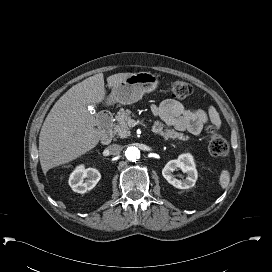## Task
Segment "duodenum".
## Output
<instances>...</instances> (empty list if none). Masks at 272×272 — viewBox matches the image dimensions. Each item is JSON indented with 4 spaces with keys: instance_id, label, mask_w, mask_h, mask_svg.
I'll use <instances>...</instances> for the list:
<instances>
[{
    "instance_id": "obj_1",
    "label": "duodenum",
    "mask_w": 272,
    "mask_h": 272,
    "mask_svg": "<svg viewBox=\"0 0 272 272\" xmlns=\"http://www.w3.org/2000/svg\"><path fill=\"white\" fill-rule=\"evenodd\" d=\"M98 123L102 131L101 141L107 145L112 142L113 129H112V115L110 112H102L98 118Z\"/></svg>"
}]
</instances>
